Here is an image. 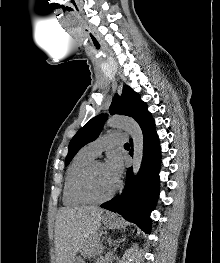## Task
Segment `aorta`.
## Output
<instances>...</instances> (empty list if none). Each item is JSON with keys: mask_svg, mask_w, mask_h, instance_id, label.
<instances>
[{"mask_svg": "<svg viewBox=\"0 0 220 263\" xmlns=\"http://www.w3.org/2000/svg\"><path fill=\"white\" fill-rule=\"evenodd\" d=\"M106 126L126 130L133 140V173L137 175L143 158V133L138 123L127 117L114 116L108 119Z\"/></svg>", "mask_w": 220, "mask_h": 263, "instance_id": "1", "label": "aorta"}]
</instances>
